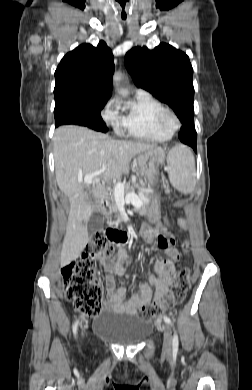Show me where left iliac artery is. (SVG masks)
Returning <instances> with one entry per match:
<instances>
[{
	"instance_id": "44dca946",
	"label": "left iliac artery",
	"mask_w": 252,
	"mask_h": 390,
	"mask_svg": "<svg viewBox=\"0 0 252 390\" xmlns=\"http://www.w3.org/2000/svg\"><path fill=\"white\" fill-rule=\"evenodd\" d=\"M164 321L168 324H170L171 326H173V323L171 321V319L167 316H164ZM178 345H179V341H178V335L176 333V331L174 330V337H173V342H172V346H173V351H177L178 350Z\"/></svg>"
}]
</instances>
